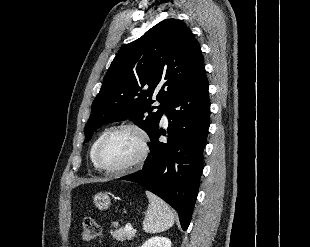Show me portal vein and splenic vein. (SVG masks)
I'll return each instance as SVG.
<instances>
[{
	"instance_id": "1",
	"label": "portal vein and splenic vein",
	"mask_w": 310,
	"mask_h": 247,
	"mask_svg": "<svg viewBox=\"0 0 310 247\" xmlns=\"http://www.w3.org/2000/svg\"><path fill=\"white\" fill-rule=\"evenodd\" d=\"M125 230H126V231L136 232V231L133 229V227L131 226V224H126V225H125Z\"/></svg>"
}]
</instances>
